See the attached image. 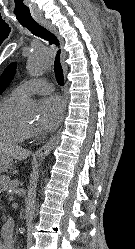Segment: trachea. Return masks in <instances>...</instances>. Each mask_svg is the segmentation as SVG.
I'll return each instance as SVG.
<instances>
[{"label": "trachea", "mask_w": 135, "mask_h": 249, "mask_svg": "<svg viewBox=\"0 0 135 249\" xmlns=\"http://www.w3.org/2000/svg\"><path fill=\"white\" fill-rule=\"evenodd\" d=\"M24 27H26L33 35L41 37L48 41L50 44H54L57 47L59 46V41L57 37L50 32L48 29L45 27L41 26L37 22H26V23H21ZM60 52L61 50L59 49L56 54L55 62H54V72L56 76V80L59 85H63L64 81V76H63V69L61 66L60 62Z\"/></svg>", "instance_id": "obj_1"}]
</instances>
